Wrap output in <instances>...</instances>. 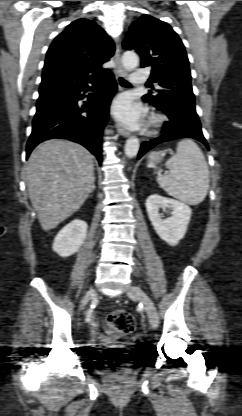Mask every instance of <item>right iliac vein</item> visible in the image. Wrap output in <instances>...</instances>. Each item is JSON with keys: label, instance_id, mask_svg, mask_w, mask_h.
<instances>
[{"label": "right iliac vein", "instance_id": "1", "mask_svg": "<svg viewBox=\"0 0 242 416\" xmlns=\"http://www.w3.org/2000/svg\"><path fill=\"white\" fill-rule=\"evenodd\" d=\"M95 295H96V291L95 290H90L89 293L84 298V300L82 302V306H85L87 304V302L89 301V299L91 297L95 296Z\"/></svg>", "mask_w": 242, "mask_h": 416}]
</instances>
